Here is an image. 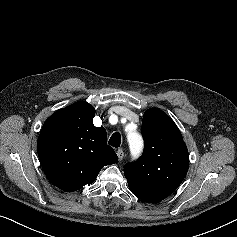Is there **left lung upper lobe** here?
I'll return each mask as SVG.
<instances>
[{
	"label": "left lung upper lobe",
	"mask_w": 237,
	"mask_h": 237,
	"mask_svg": "<svg viewBox=\"0 0 237 237\" xmlns=\"http://www.w3.org/2000/svg\"><path fill=\"white\" fill-rule=\"evenodd\" d=\"M144 151L136 163L124 166L131 192L147 202H159L172 194L185 178L189 154L174 121L151 108L142 120Z\"/></svg>",
	"instance_id": "obj_1"
}]
</instances>
